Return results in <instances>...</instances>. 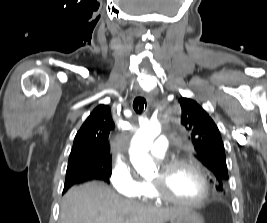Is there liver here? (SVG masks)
<instances>
[{"label": "liver", "mask_w": 267, "mask_h": 223, "mask_svg": "<svg viewBox=\"0 0 267 223\" xmlns=\"http://www.w3.org/2000/svg\"><path fill=\"white\" fill-rule=\"evenodd\" d=\"M182 211L126 200L106 184L94 181L64 195L59 223H165Z\"/></svg>", "instance_id": "6515ba94"}]
</instances>
